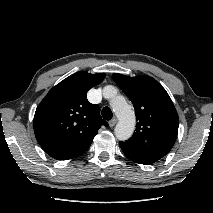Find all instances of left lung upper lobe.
Wrapping results in <instances>:
<instances>
[{
  "instance_id": "1",
  "label": "left lung upper lobe",
  "mask_w": 213,
  "mask_h": 213,
  "mask_svg": "<svg viewBox=\"0 0 213 213\" xmlns=\"http://www.w3.org/2000/svg\"><path fill=\"white\" fill-rule=\"evenodd\" d=\"M112 78L133 103L137 119L133 136L121 143L161 159L173 147L179 126L178 114L168 93L149 76L114 73Z\"/></svg>"
}]
</instances>
